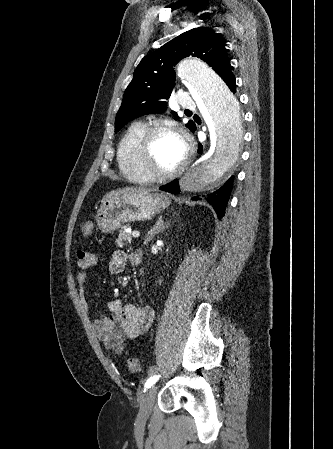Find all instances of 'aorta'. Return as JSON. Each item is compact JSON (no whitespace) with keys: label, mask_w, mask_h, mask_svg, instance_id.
<instances>
[{"label":"aorta","mask_w":333,"mask_h":449,"mask_svg":"<svg viewBox=\"0 0 333 449\" xmlns=\"http://www.w3.org/2000/svg\"><path fill=\"white\" fill-rule=\"evenodd\" d=\"M176 73L211 122V150L186 171L180 188L188 193L219 189L235 166L241 144L239 105L228 86L211 67L197 58H187L177 65Z\"/></svg>","instance_id":"aorta-1"}]
</instances>
